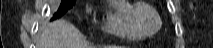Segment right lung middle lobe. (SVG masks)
Masks as SVG:
<instances>
[{"label": "right lung middle lobe", "mask_w": 213, "mask_h": 48, "mask_svg": "<svg viewBox=\"0 0 213 48\" xmlns=\"http://www.w3.org/2000/svg\"><path fill=\"white\" fill-rule=\"evenodd\" d=\"M75 4V0H62L58 11L54 14L52 20L61 17L63 14L67 12V10L71 9Z\"/></svg>", "instance_id": "1"}]
</instances>
